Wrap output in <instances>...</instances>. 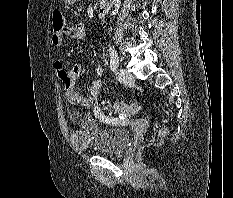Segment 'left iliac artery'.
<instances>
[{
    "label": "left iliac artery",
    "mask_w": 233,
    "mask_h": 198,
    "mask_svg": "<svg viewBox=\"0 0 233 198\" xmlns=\"http://www.w3.org/2000/svg\"><path fill=\"white\" fill-rule=\"evenodd\" d=\"M110 69L115 71L119 66V57L116 50L111 46L110 47Z\"/></svg>",
    "instance_id": "1"
}]
</instances>
